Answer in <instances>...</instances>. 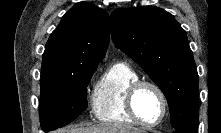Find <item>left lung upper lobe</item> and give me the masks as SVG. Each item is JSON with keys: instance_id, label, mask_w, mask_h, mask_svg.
Instances as JSON below:
<instances>
[{"instance_id": "5c2ea615", "label": "left lung upper lobe", "mask_w": 221, "mask_h": 133, "mask_svg": "<svg viewBox=\"0 0 221 133\" xmlns=\"http://www.w3.org/2000/svg\"><path fill=\"white\" fill-rule=\"evenodd\" d=\"M115 45L137 62L167 98L172 127L198 125V74L187 35L173 15L155 6L111 14Z\"/></svg>"}]
</instances>
